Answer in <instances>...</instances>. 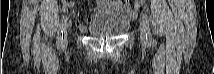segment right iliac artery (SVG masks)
I'll return each mask as SVG.
<instances>
[{
    "label": "right iliac artery",
    "mask_w": 214,
    "mask_h": 74,
    "mask_svg": "<svg viewBox=\"0 0 214 74\" xmlns=\"http://www.w3.org/2000/svg\"><path fill=\"white\" fill-rule=\"evenodd\" d=\"M67 15H63L60 21L59 25V31H58V37H57V46L62 47L63 45V32H64V26L67 22Z\"/></svg>",
    "instance_id": "right-iliac-artery-1"
}]
</instances>
